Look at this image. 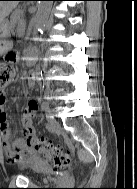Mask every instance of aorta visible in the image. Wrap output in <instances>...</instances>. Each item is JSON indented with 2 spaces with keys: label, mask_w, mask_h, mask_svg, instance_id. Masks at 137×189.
I'll list each match as a JSON object with an SVG mask.
<instances>
[{
  "label": "aorta",
  "mask_w": 137,
  "mask_h": 189,
  "mask_svg": "<svg viewBox=\"0 0 137 189\" xmlns=\"http://www.w3.org/2000/svg\"><path fill=\"white\" fill-rule=\"evenodd\" d=\"M52 4L53 1H39L38 10L36 13V22L39 32H42L48 22Z\"/></svg>",
  "instance_id": "obj_1"
}]
</instances>
